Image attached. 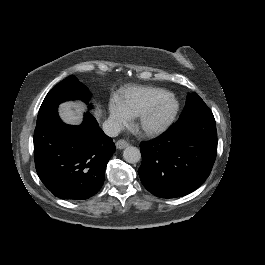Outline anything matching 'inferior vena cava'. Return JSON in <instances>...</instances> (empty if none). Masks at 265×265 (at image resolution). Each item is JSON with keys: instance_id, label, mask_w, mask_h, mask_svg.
Returning a JSON list of instances; mask_svg holds the SVG:
<instances>
[{"instance_id": "obj_1", "label": "inferior vena cava", "mask_w": 265, "mask_h": 265, "mask_svg": "<svg viewBox=\"0 0 265 265\" xmlns=\"http://www.w3.org/2000/svg\"><path fill=\"white\" fill-rule=\"evenodd\" d=\"M122 125L114 119H108L103 123V131L110 137H116L121 132Z\"/></svg>"}]
</instances>
